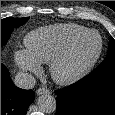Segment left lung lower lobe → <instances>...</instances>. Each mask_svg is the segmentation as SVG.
I'll use <instances>...</instances> for the list:
<instances>
[{"label":"left lung lower lobe","mask_w":115,"mask_h":115,"mask_svg":"<svg viewBox=\"0 0 115 115\" xmlns=\"http://www.w3.org/2000/svg\"><path fill=\"white\" fill-rule=\"evenodd\" d=\"M55 94L56 115H115V69L92 71Z\"/></svg>","instance_id":"0a47b994"}]
</instances>
